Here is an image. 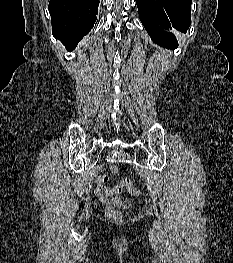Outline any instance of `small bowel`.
<instances>
[{"mask_svg": "<svg viewBox=\"0 0 233 263\" xmlns=\"http://www.w3.org/2000/svg\"><path fill=\"white\" fill-rule=\"evenodd\" d=\"M108 179L107 175H101L97 178L95 194L102 204L108 207H121L123 202L118 197L121 188L118 185L107 186Z\"/></svg>", "mask_w": 233, "mask_h": 263, "instance_id": "obj_1", "label": "small bowel"}]
</instances>
